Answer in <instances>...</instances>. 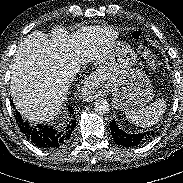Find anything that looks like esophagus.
Returning <instances> with one entry per match:
<instances>
[{
  "mask_svg": "<svg viewBox=\"0 0 183 183\" xmlns=\"http://www.w3.org/2000/svg\"><path fill=\"white\" fill-rule=\"evenodd\" d=\"M82 92L87 101H92L99 96L105 95L107 91L99 73L94 72L86 79Z\"/></svg>",
  "mask_w": 183,
  "mask_h": 183,
  "instance_id": "obj_1",
  "label": "esophagus"
}]
</instances>
